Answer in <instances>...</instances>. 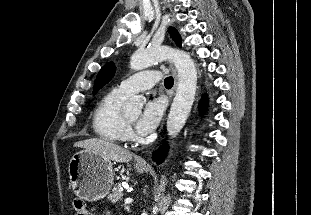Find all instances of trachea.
<instances>
[{
    "label": "trachea",
    "instance_id": "obj_1",
    "mask_svg": "<svg viewBox=\"0 0 311 215\" xmlns=\"http://www.w3.org/2000/svg\"><path fill=\"white\" fill-rule=\"evenodd\" d=\"M173 77H167L165 80H164V85L166 88H171L173 86Z\"/></svg>",
    "mask_w": 311,
    "mask_h": 215
}]
</instances>
